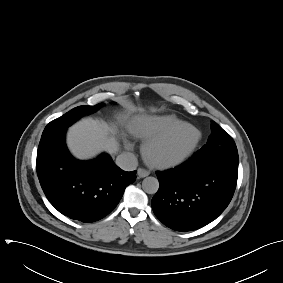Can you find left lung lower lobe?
Listing matches in <instances>:
<instances>
[{"mask_svg": "<svg viewBox=\"0 0 283 283\" xmlns=\"http://www.w3.org/2000/svg\"><path fill=\"white\" fill-rule=\"evenodd\" d=\"M156 175L160 186L152 198L155 215L173 230L191 231L226 209L236 188L238 164L192 157Z\"/></svg>", "mask_w": 283, "mask_h": 283, "instance_id": "1", "label": "left lung lower lobe"}]
</instances>
